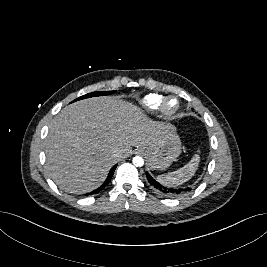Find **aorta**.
<instances>
[{"label": "aorta", "instance_id": "aorta-1", "mask_svg": "<svg viewBox=\"0 0 267 267\" xmlns=\"http://www.w3.org/2000/svg\"><path fill=\"white\" fill-rule=\"evenodd\" d=\"M133 164L136 166V167H141L144 165V160L142 157L140 156H135L132 160Z\"/></svg>", "mask_w": 267, "mask_h": 267}]
</instances>
